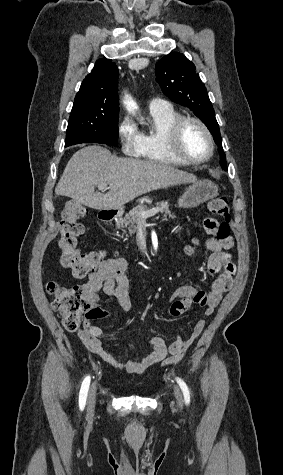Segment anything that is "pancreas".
Segmentation results:
<instances>
[{
	"mask_svg": "<svg viewBox=\"0 0 283 475\" xmlns=\"http://www.w3.org/2000/svg\"><path fill=\"white\" fill-rule=\"evenodd\" d=\"M154 210H157V214L158 212L164 214V220H174V218H176V216L171 214L168 202H157ZM143 212H148L146 206H137V208H133V210H130L129 214H126L125 218H119V220H117L118 228H127L129 234H135L137 230L136 224L142 222V220H146V218L142 216Z\"/></svg>",
	"mask_w": 283,
	"mask_h": 475,
	"instance_id": "1",
	"label": "pancreas"
}]
</instances>
